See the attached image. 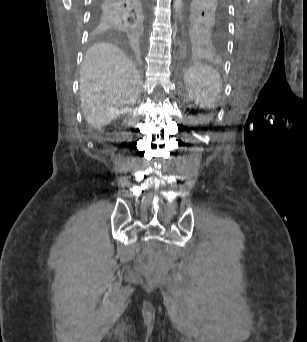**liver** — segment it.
I'll return each mask as SVG.
<instances>
[{
  "instance_id": "1",
  "label": "liver",
  "mask_w": 307,
  "mask_h": 342,
  "mask_svg": "<svg viewBox=\"0 0 307 342\" xmlns=\"http://www.w3.org/2000/svg\"><path fill=\"white\" fill-rule=\"evenodd\" d=\"M142 86L133 62L113 44H95L80 68V102L92 128H104L136 104Z\"/></svg>"
}]
</instances>
